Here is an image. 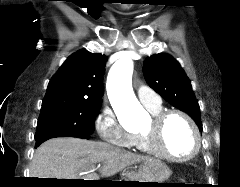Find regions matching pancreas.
Here are the masks:
<instances>
[{"label": "pancreas", "mask_w": 240, "mask_h": 187, "mask_svg": "<svg viewBox=\"0 0 240 187\" xmlns=\"http://www.w3.org/2000/svg\"><path fill=\"white\" fill-rule=\"evenodd\" d=\"M132 178H133V179H136V178H137V176H136V175H133V176H132Z\"/></svg>", "instance_id": "cf45deb5"}]
</instances>
